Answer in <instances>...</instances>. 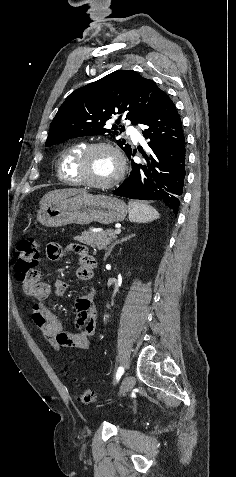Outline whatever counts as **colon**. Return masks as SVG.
<instances>
[{"mask_svg":"<svg viewBox=\"0 0 236 477\" xmlns=\"http://www.w3.org/2000/svg\"><path fill=\"white\" fill-rule=\"evenodd\" d=\"M39 262L40 252L37 244L31 239L21 241L16 254L15 274L29 292H33L39 285ZM94 399L95 393L90 388H83L78 394V400L83 404H89Z\"/></svg>","mask_w":236,"mask_h":477,"instance_id":"obj_1","label":"colon"}]
</instances>
